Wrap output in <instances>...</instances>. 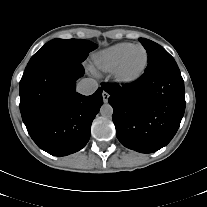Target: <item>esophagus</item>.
Returning <instances> with one entry per match:
<instances>
[{"mask_svg":"<svg viewBox=\"0 0 207 207\" xmlns=\"http://www.w3.org/2000/svg\"><path fill=\"white\" fill-rule=\"evenodd\" d=\"M102 97H103V101L104 103L108 102V98H109V94L106 91L102 92Z\"/></svg>","mask_w":207,"mask_h":207,"instance_id":"obj_1","label":"esophagus"}]
</instances>
